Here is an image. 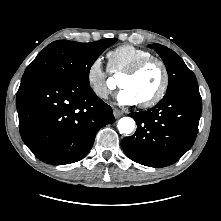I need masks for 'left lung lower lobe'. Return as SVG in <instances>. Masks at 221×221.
Masks as SVG:
<instances>
[{
  "label": "left lung lower lobe",
  "instance_id": "left-lung-lower-lobe-1",
  "mask_svg": "<svg viewBox=\"0 0 221 221\" xmlns=\"http://www.w3.org/2000/svg\"><path fill=\"white\" fill-rule=\"evenodd\" d=\"M202 110L198 87L179 89L153 108L130 113L137 123L134 135L122 140L131 160L161 168L178 161L193 145Z\"/></svg>",
  "mask_w": 221,
  "mask_h": 221
}]
</instances>
